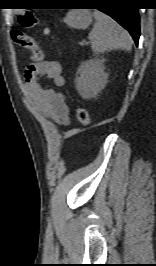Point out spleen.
Here are the masks:
<instances>
[{
	"instance_id": "1",
	"label": "spleen",
	"mask_w": 156,
	"mask_h": 266,
	"mask_svg": "<svg viewBox=\"0 0 156 266\" xmlns=\"http://www.w3.org/2000/svg\"><path fill=\"white\" fill-rule=\"evenodd\" d=\"M96 23L88 35L94 54L131 49V37L116 21L101 11L93 12Z\"/></svg>"
}]
</instances>
